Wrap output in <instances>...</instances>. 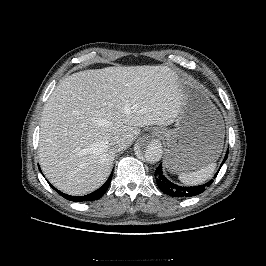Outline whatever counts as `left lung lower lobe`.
Segmentation results:
<instances>
[{
	"mask_svg": "<svg viewBox=\"0 0 266 266\" xmlns=\"http://www.w3.org/2000/svg\"><path fill=\"white\" fill-rule=\"evenodd\" d=\"M227 156H228V150H227L226 156L224 157V160H223L220 168L222 167L223 163L226 161ZM220 168H219V170H220ZM219 170H218V172H219ZM218 172L216 173L214 178L217 176ZM154 175H155L156 182H157V185L160 188V190L162 192H164L165 194H168V195L174 196V197H191V196L198 195V194L204 192V190L207 187H209L213 182V180H210L209 182H207L203 185L194 186V187L178 186V185L172 183L171 181H169L163 175L162 164H160L159 167L155 170Z\"/></svg>",
	"mask_w": 266,
	"mask_h": 266,
	"instance_id": "obj_1",
	"label": "left lung lower lobe"
}]
</instances>
